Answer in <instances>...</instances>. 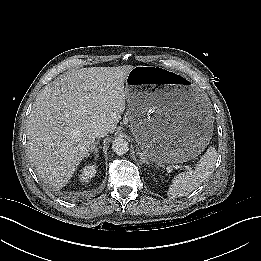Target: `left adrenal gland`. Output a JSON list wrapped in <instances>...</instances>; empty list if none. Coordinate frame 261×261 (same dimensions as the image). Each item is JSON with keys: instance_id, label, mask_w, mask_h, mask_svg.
Returning <instances> with one entry per match:
<instances>
[{"instance_id": "left-adrenal-gland-1", "label": "left adrenal gland", "mask_w": 261, "mask_h": 261, "mask_svg": "<svg viewBox=\"0 0 261 261\" xmlns=\"http://www.w3.org/2000/svg\"><path fill=\"white\" fill-rule=\"evenodd\" d=\"M138 154H140L141 164H143V163L148 164V161L146 160V157H144V155L142 153H140V152H138Z\"/></svg>"}]
</instances>
